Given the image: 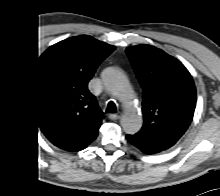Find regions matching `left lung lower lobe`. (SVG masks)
<instances>
[{
	"instance_id": "left-lung-lower-lobe-1",
	"label": "left lung lower lobe",
	"mask_w": 220,
	"mask_h": 196,
	"mask_svg": "<svg viewBox=\"0 0 220 196\" xmlns=\"http://www.w3.org/2000/svg\"><path fill=\"white\" fill-rule=\"evenodd\" d=\"M126 138L131 144H133L134 146H136L138 149H140L142 152L146 154H154L164 151L163 149L154 145L148 139H146L140 134L136 133L134 135H127Z\"/></svg>"
}]
</instances>
